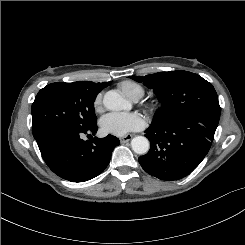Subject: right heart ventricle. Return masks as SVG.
I'll return each mask as SVG.
<instances>
[{
	"label": "right heart ventricle",
	"mask_w": 245,
	"mask_h": 245,
	"mask_svg": "<svg viewBox=\"0 0 245 245\" xmlns=\"http://www.w3.org/2000/svg\"><path fill=\"white\" fill-rule=\"evenodd\" d=\"M118 87L125 96L133 100L139 99L144 94V89L139 84L130 80L120 82Z\"/></svg>",
	"instance_id": "right-heart-ventricle-1"
}]
</instances>
